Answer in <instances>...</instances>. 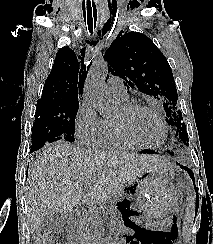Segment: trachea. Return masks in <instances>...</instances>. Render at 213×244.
I'll use <instances>...</instances> for the list:
<instances>
[{
    "label": "trachea",
    "mask_w": 213,
    "mask_h": 244,
    "mask_svg": "<svg viewBox=\"0 0 213 244\" xmlns=\"http://www.w3.org/2000/svg\"><path fill=\"white\" fill-rule=\"evenodd\" d=\"M83 14L86 18L87 16V24H88V30L89 32L92 34V30H93V23H94V27L96 26V21H97V10L96 7L93 8H84L83 9Z\"/></svg>",
    "instance_id": "obj_1"
}]
</instances>
